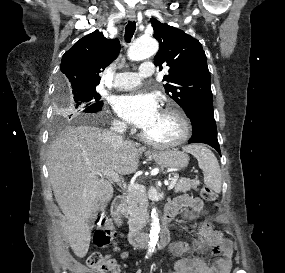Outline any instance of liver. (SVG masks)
I'll return each mask as SVG.
<instances>
[{
	"mask_svg": "<svg viewBox=\"0 0 285 273\" xmlns=\"http://www.w3.org/2000/svg\"><path fill=\"white\" fill-rule=\"evenodd\" d=\"M143 152L145 148L131 141L116 144L107 131L87 125L67 127L53 140L47 155L49 179L67 220L65 235L77 257H85L89 250L88 220L113 197L107 176L94 173L133 174Z\"/></svg>",
	"mask_w": 285,
	"mask_h": 273,
	"instance_id": "obj_1",
	"label": "liver"
}]
</instances>
